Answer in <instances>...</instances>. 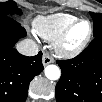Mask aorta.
Listing matches in <instances>:
<instances>
[{"label": "aorta", "mask_w": 102, "mask_h": 102, "mask_svg": "<svg viewBox=\"0 0 102 102\" xmlns=\"http://www.w3.org/2000/svg\"><path fill=\"white\" fill-rule=\"evenodd\" d=\"M60 75H61V71L59 67L56 65L51 64L45 68V76L49 80H58L60 78Z\"/></svg>", "instance_id": "1"}]
</instances>
